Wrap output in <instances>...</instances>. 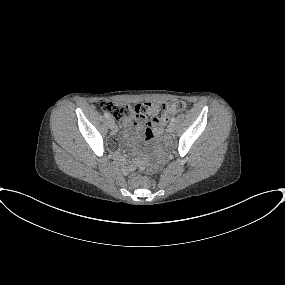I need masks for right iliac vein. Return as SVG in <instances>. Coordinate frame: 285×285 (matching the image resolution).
<instances>
[{
    "label": "right iliac vein",
    "mask_w": 285,
    "mask_h": 285,
    "mask_svg": "<svg viewBox=\"0 0 285 285\" xmlns=\"http://www.w3.org/2000/svg\"><path fill=\"white\" fill-rule=\"evenodd\" d=\"M107 122H108L109 128H110L112 131L116 130L115 122H114V120H113L112 118H109Z\"/></svg>",
    "instance_id": "obj_1"
}]
</instances>
